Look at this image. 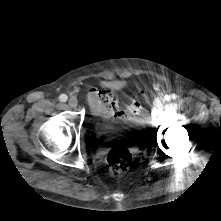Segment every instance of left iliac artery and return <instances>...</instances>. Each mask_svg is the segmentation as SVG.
Returning a JSON list of instances; mask_svg holds the SVG:
<instances>
[{"mask_svg":"<svg viewBox=\"0 0 221 221\" xmlns=\"http://www.w3.org/2000/svg\"><path fill=\"white\" fill-rule=\"evenodd\" d=\"M177 98L176 94H171V95H165L164 100L165 101H170L171 99L175 100Z\"/></svg>","mask_w":221,"mask_h":221,"instance_id":"1","label":"left iliac artery"}]
</instances>
